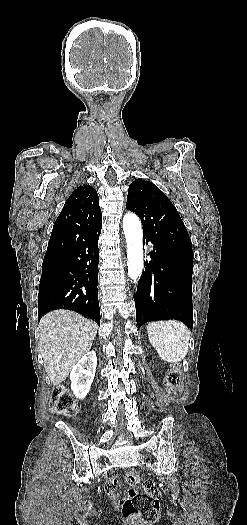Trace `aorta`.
Returning a JSON list of instances; mask_svg holds the SVG:
<instances>
[{"mask_svg":"<svg viewBox=\"0 0 247 525\" xmlns=\"http://www.w3.org/2000/svg\"><path fill=\"white\" fill-rule=\"evenodd\" d=\"M123 230L127 242L128 276L136 281L141 276L144 266L142 226L139 218L133 213L125 214Z\"/></svg>","mask_w":247,"mask_h":525,"instance_id":"aorta-1","label":"aorta"}]
</instances>
